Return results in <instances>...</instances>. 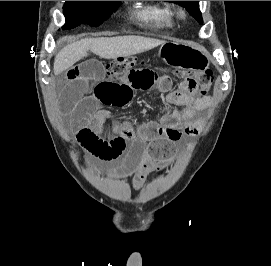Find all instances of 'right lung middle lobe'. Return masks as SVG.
Returning <instances> with one entry per match:
<instances>
[{
    "instance_id": "obj_1",
    "label": "right lung middle lobe",
    "mask_w": 271,
    "mask_h": 266,
    "mask_svg": "<svg viewBox=\"0 0 271 266\" xmlns=\"http://www.w3.org/2000/svg\"><path fill=\"white\" fill-rule=\"evenodd\" d=\"M117 4L118 1H66L63 7L66 23L62 29H72L80 24L98 26Z\"/></svg>"
}]
</instances>
